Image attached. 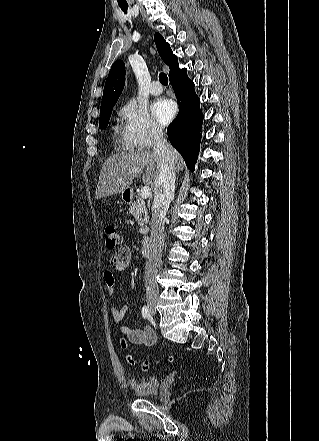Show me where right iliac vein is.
I'll return each mask as SVG.
<instances>
[{
    "mask_svg": "<svg viewBox=\"0 0 319 441\" xmlns=\"http://www.w3.org/2000/svg\"><path fill=\"white\" fill-rule=\"evenodd\" d=\"M148 308H149V310L151 311V313L152 314H155L156 313V305H157V302H156V300H148Z\"/></svg>",
    "mask_w": 319,
    "mask_h": 441,
    "instance_id": "obj_1",
    "label": "right iliac vein"
}]
</instances>
